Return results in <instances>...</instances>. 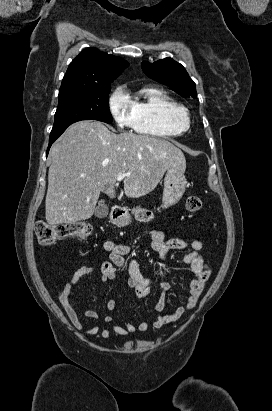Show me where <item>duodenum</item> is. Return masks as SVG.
I'll return each instance as SVG.
<instances>
[{"instance_id":"410a0bca","label":"duodenum","mask_w":272,"mask_h":411,"mask_svg":"<svg viewBox=\"0 0 272 411\" xmlns=\"http://www.w3.org/2000/svg\"><path fill=\"white\" fill-rule=\"evenodd\" d=\"M110 213L113 219H117L124 213V208L120 205H115L111 208Z\"/></svg>"}]
</instances>
